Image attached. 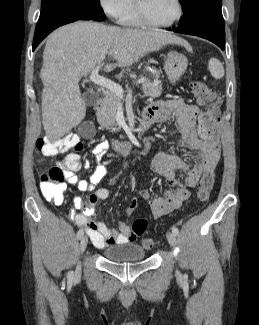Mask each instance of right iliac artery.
Listing matches in <instances>:
<instances>
[{
  "instance_id": "obj_1",
  "label": "right iliac artery",
  "mask_w": 259,
  "mask_h": 325,
  "mask_svg": "<svg viewBox=\"0 0 259 325\" xmlns=\"http://www.w3.org/2000/svg\"><path fill=\"white\" fill-rule=\"evenodd\" d=\"M83 234H84L83 229H80V230L77 232V238L80 239V238L83 236ZM72 279H73V271H70V272L68 273V280L71 281Z\"/></svg>"
}]
</instances>
